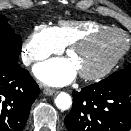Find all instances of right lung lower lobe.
<instances>
[{"label": "right lung lower lobe", "instance_id": "98d812e1", "mask_svg": "<svg viewBox=\"0 0 131 131\" xmlns=\"http://www.w3.org/2000/svg\"><path fill=\"white\" fill-rule=\"evenodd\" d=\"M39 86L16 63L0 65V131H22Z\"/></svg>", "mask_w": 131, "mask_h": 131}]
</instances>
